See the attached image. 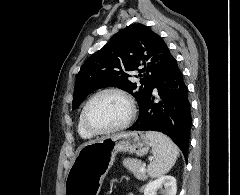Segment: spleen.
<instances>
[{
    "label": "spleen",
    "instance_id": "3e777b00",
    "mask_svg": "<svg viewBox=\"0 0 240 195\" xmlns=\"http://www.w3.org/2000/svg\"><path fill=\"white\" fill-rule=\"evenodd\" d=\"M146 137L150 139L153 161L147 165L149 177H161L174 165L179 155V147L161 131H146Z\"/></svg>",
    "mask_w": 240,
    "mask_h": 195
}]
</instances>
